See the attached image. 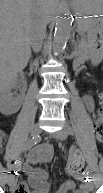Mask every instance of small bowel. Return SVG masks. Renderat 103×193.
<instances>
[{
  "instance_id": "obj_1",
  "label": "small bowel",
  "mask_w": 103,
  "mask_h": 193,
  "mask_svg": "<svg viewBox=\"0 0 103 193\" xmlns=\"http://www.w3.org/2000/svg\"><path fill=\"white\" fill-rule=\"evenodd\" d=\"M83 103L87 110L92 111L94 109V102L91 96H85L83 98ZM4 138V134H2ZM53 155V149L50 145H41L27 155L26 162L22 165V171L26 175L27 183L21 182L18 186L13 188V193H49L50 185L48 183L49 172L42 168H34L33 165L41 162H48L51 160ZM12 181L14 183L15 177ZM78 179L82 181L80 185H76L74 182H67L63 184L54 193H88V179L89 175L84 174L78 176ZM28 187L30 190H28Z\"/></svg>"
}]
</instances>
